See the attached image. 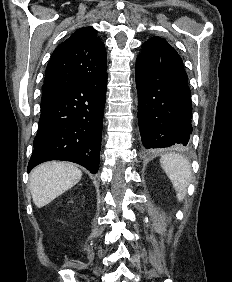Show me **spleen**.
Returning <instances> with one entry per match:
<instances>
[{
  "instance_id": "obj_1",
  "label": "spleen",
  "mask_w": 232,
  "mask_h": 282,
  "mask_svg": "<svg viewBox=\"0 0 232 282\" xmlns=\"http://www.w3.org/2000/svg\"><path fill=\"white\" fill-rule=\"evenodd\" d=\"M160 164L177 191L178 200L182 201L191 177L189 161L179 154H166Z\"/></svg>"
}]
</instances>
